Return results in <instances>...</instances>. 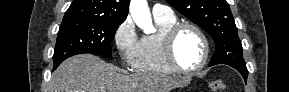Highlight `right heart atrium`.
<instances>
[{
	"label": "right heart atrium",
	"instance_id": "d8ad5b80",
	"mask_svg": "<svg viewBox=\"0 0 289 92\" xmlns=\"http://www.w3.org/2000/svg\"><path fill=\"white\" fill-rule=\"evenodd\" d=\"M114 43L122 63L133 68L137 59L139 40L133 21L126 18L114 33Z\"/></svg>",
	"mask_w": 289,
	"mask_h": 92
}]
</instances>
